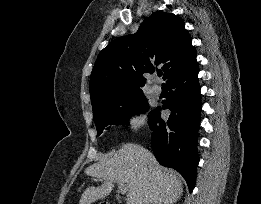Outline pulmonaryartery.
Listing matches in <instances>:
<instances>
[{
    "label": "pulmonary artery",
    "mask_w": 261,
    "mask_h": 204,
    "mask_svg": "<svg viewBox=\"0 0 261 204\" xmlns=\"http://www.w3.org/2000/svg\"><path fill=\"white\" fill-rule=\"evenodd\" d=\"M152 91L155 95H160L161 92H162V89H161V86L158 85V84H155L153 87H152Z\"/></svg>",
    "instance_id": "pulmonary-artery-1"
}]
</instances>
